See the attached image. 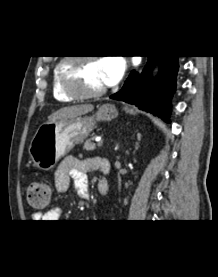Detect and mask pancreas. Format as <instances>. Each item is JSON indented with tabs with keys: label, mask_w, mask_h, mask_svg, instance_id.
I'll list each match as a JSON object with an SVG mask.
<instances>
[{
	"label": "pancreas",
	"mask_w": 218,
	"mask_h": 277,
	"mask_svg": "<svg viewBox=\"0 0 218 277\" xmlns=\"http://www.w3.org/2000/svg\"><path fill=\"white\" fill-rule=\"evenodd\" d=\"M96 136H92L90 139L86 140V142L83 145V149L87 151H93L96 148V145L94 143Z\"/></svg>",
	"instance_id": "pancreas-1"
}]
</instances>
